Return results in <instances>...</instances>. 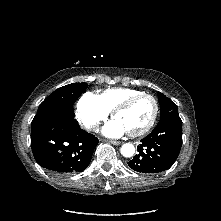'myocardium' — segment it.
<instances>
[{"label": "myocardium", "mask_w": 221, "mask_h": 221, "mask_svg": "<svg viewBox=\"0 0 221 221\" xmlns=\"http://www.w3.org/2000/svg\"><path fill=\"white\" fill-rule=\"evenodd\" d=\"M150 98L153 101V106H154V110H153V115L150 119V121L140 130L136 131V132H129V135L131 137H140L145 135L146 133H148L153 126L155 125L158 116H159V102L157 100V98L150 94V93H145L142 92L140 94L134 95L126 100H124L122 103H120L119 105H117L113 110H112V116L115 118L116 115L124 110H127L128 108H130L137 100L141 99V98Z\"/></svg>", "instance_id": "myocardium-1"}]
</instances>
